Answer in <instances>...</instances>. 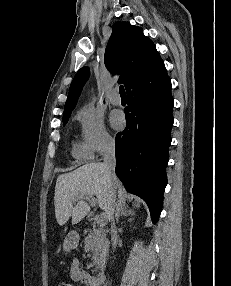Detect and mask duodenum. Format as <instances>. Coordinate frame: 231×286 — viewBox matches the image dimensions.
<instances>
[{
    "mask_svg": "<svg viewBox=\"0 0 231 286\" xmlns=\"http://www.w3.org/2000/svg\"><path fill=\"white\" fill-rule=\"evenodd\" d=\"M97 284H103L106 281V272L104 269H100L96 274Z\"/></svg>",
    "mask_w": 231,
    "mask_h": 286,
    "instance_id": "obj_1",
    "label": "duodenum"
}]
</instances>
